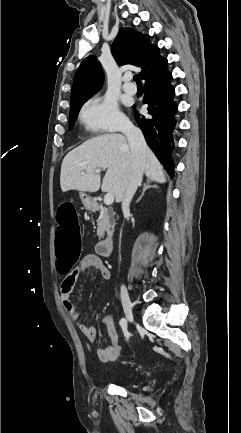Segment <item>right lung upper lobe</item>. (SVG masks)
Listing matches in <instances>:
<instances>
[{"label": "right lung upper lobe", "instance_id": "1", "mask_svg": "<svg viewBox=\"0 0 241 433\" xmlns=\"http://www.w3.org/2000/svg\"><path fill=\"white\" fill-rule=\"evenodd\" d=\"M112 52L120 64H132L142 68L141 79L145 80L167 64L159 54V48L150 43L149 35L131 28H120L112 44ZM104 75L96 57L88 56L76 71L72 91L71 107L79 101L89 99L102 86Z\"/></svg>", "mask_w": 241, "mask_h": 433}]
</instances>
